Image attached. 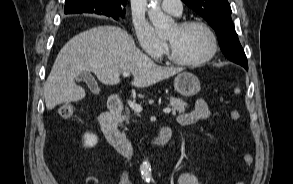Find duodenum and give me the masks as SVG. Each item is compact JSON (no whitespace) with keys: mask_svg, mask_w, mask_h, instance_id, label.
Here are the masks:
<instances>
[{"mask_svg":"<svg viewBox=\"0 0 293 184\" xmlns=\"http://www.w3.org/2000/svg\"><path fill=\"white\" fill-rule=\"evenodd\" d=\"M107 107L108 110L102 113L99 117L102 131L113 147H115L122 155L131 157L134 152V147L116 126L117 119L123 109L122 98L118 95H112L108 100ZM170 138V128L163 126L159 129L156 137L152 141V144L155 146H164L169 143Z\"/></svg>","mask_w":293,"mask_h":184,"instance_id":"1","label":"duodenum"}]
</instances>
